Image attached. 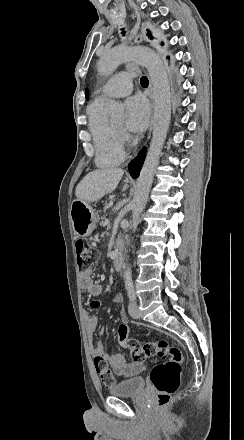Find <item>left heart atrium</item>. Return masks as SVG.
<instances>
[{
  "instance_id": "39dd6f15",
  "label": "left heart atrium",
  "mask_w": 244,
  "mask_h": 440,
  "mask_svg": "<svg viewBox=\"0 0 244 440\" xmlns=\"http://www.w3.org/2000/svg\"><path fill=\"white\" fill-rule=\"evenodd\" d=\"M126 126L134 132H142L148 125L149 107L141 96H134L126 101Z\"/></svg>"
}]
</instances>
